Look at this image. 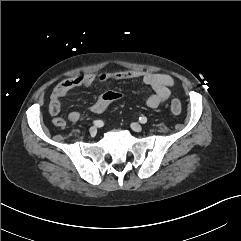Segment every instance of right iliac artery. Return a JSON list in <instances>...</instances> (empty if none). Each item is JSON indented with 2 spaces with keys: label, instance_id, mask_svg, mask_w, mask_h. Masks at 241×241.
Instances as JSON below:
<instances>
[{
  "label": "right iliac artery",
  "instance_id": "obj_1",
  "mask_svg": "<svg viewBox=\"0 0 241 241\" xmlns=\"http://www.w3.org/2000/svg\"><path fill=\"white\" fill-rule=\"evenodd\" d=\"M94 125L97 126V127H102V126H103V121H101V120H95V121H94Z\"/></svg>",
  "mask_w": 241,
  "mask_h": 241
}]
</instances>
